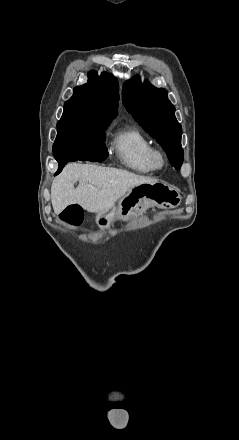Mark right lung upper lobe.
Masks as SVG:
<instances>
[{"instance_id":"obj_1","label":"right lung upper lobe","mask_w":239,"mask_h":440,"mask_svg":"<svg viewBox=\"0 0 239 440\" xmlns=\"http://www.w3.org/2000/svg\"><path fill=\"white\" fill-rule=\"evenodd\" d=\"M119 84L109 73L88 74V82L74 89V95L64 104V113L82 117L113 119L117 115Z\"/></svg>"}]
</instances>
